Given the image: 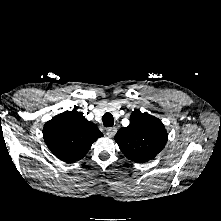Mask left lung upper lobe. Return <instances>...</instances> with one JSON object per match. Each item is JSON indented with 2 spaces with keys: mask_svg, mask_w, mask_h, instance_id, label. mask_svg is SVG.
I'll list each match as a JSON object with an SVG mask.
<instances>
[{
  "mask_svg": "<svg viewBox=\"0 0 221 221\" xmlns=\"http://www.w3.org/2000/svg\"><path fill=\"white\" fill-rule=\"evenodd\" d=\"M167 139L164 124L139 110L132 112L129 126L119 129L115 135L122 153L135 162L153 159L164 148Z\"/></svg>",
  "mask_w": 221,
  "mask_h": 221,
  "instance_id": "5c2ea615",
  "label": "left lung upper lobe"
}]
</instances>
